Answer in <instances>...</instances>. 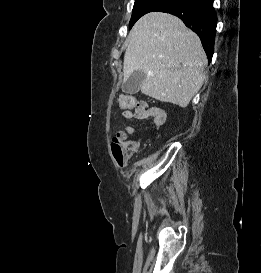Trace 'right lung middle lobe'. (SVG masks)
Listing matches in <instances>:
<instances>
[{
	"label": "right lung middle lobe",
	"mask_w": 261,
	"mask_h": 273,
	"mask_svg": "<svg viewBox=\"0 0 261 273\" xmlns=\"http://www.w3.org/2000/svg\"><path fill=\"white\" fill-rule=\"evenodd\" d=\"M166 5V0H136L134 3L129 29L144 14L152 11H161Z\"/></svg>",
	"instance_id": "obj_1"
}]
</instances>
